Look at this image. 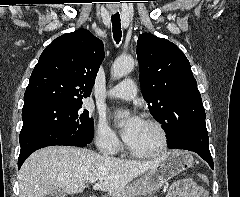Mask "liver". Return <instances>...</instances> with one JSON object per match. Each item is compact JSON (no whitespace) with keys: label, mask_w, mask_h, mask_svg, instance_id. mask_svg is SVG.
<instances>
[{"label":"liver","mask_w":240,"mask_h":197,"mask_svg":"<svg viewBox=\"0 0 240 197\" xmlns=\"http://www.w3.org/2000/svg\"><path fill=\"white\" fill-rule=\"evenodd\" d=\"M165 155L150 161L117 159L86 148L51 146L31 154L19 172V197H46L54 190L81 193L93 189L116 195L137 176L158 166Z\"/></svg>","instance_id":"obj_1"}]
</instances>
